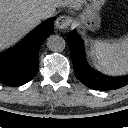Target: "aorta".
I'll list each match as a JSON object with an SVG mask.
<instances>
[{"mask_svg":"<svg viewBox=\"0 0 128 128\" xmlns=\"http://www.w3.org/2000/svg\"><path fill=\"white\" fill-rule=\"evenodd\" d=\"M65 40L59 35H50L47 38V47L53 52H60L65 48Z\"/></svg>","mask_w":128,"mask_h":128,"instance_id":"obj_1","label":"aorta"}]
</instances>
